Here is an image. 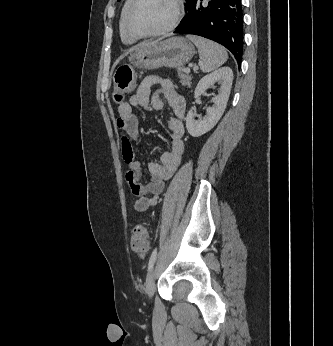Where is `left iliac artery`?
<instances>
[{"label": "left iliac artery", "mask_w": 333, "mask_h": 346, "mask_svg": "<svg viewBox=\"0 0 333 346\" xmlns=\"http://www.w3.org/2000/svg\"><path fill=\"white\" fill-rule=\"evenodd\" d=\"M156 258H157V248H155L150 256V259H149V264H148V270H151L152 267L154 266L155 264V261H156Z\"/></svg>", "instance_id": "1"}]
</instances>
